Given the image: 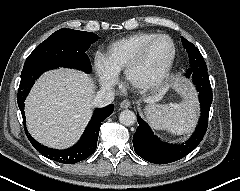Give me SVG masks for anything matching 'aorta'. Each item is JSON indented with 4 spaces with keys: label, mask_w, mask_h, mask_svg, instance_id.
<instances>
[{
    "label": "aorta",
    "mask_w": 240,
    "mask_h": 191,
    "mask_svg": "<svg viewBox=\"0 0 240 191\" xmlns=\"http://www.w3.org/2000/svg\"><path fill=\"white\" fill-rule=\"evenodd\" d=\"M119 121L125 126H131L136 122V115L131 110H123L119 115Z\"/></svg>",
    "instance_id": "762f6f07"
}]
</instances>
